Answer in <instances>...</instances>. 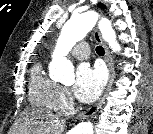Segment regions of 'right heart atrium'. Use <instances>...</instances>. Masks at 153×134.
<instances>
[{"instance_id":"1","label":"right heart atrium","mask_w":153,"mask_h":134,"mask_svg":"<svg viewBox=\"0 0 153 134\" xmlns=\"http://www.w3.org/2000/svg\"><path fill=\"white\" fill-rule=\"evenodd\" d=\"M56 109L63 114H68L73 109L72 97L65 87H58L56 97Z\"/></svg>"}]
</instances>
